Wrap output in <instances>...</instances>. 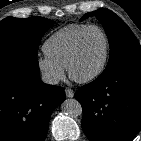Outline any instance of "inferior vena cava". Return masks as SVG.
Returning a JSON list of instances; mask_svg holds the SVG:
<instances>
[{"label":"inferior vena cava","mask_w":141,"mask_h":141,"mask_svg":"<svg viewBox=\"0 0 141 141\" xmlns=\"http://www.w3.org/2000/svg\"><path fill=\"white\" fill-rule=\"evenodd\" d=\"M41 80L50 85H57L59 83V78L56 75L48 72L42 74Z\"/></svg>","instance_id":"1"}]
</instances>
